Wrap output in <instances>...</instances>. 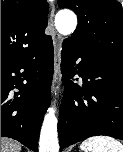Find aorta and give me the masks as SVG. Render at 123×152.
<instances>
[{
    "label": "aorta",
    "mask_w": 123,
    "mask_h": 152,
    "mask_svg": "<svg viewBox=\"0 0 123 152\" xmlns=\"http://www.w3.org/2000/svg\"><path fill=\"white\" fill-rule=\"evenodd\" d=\"M55 26L57 31L62 35H70L77 26L76 15L72 11H60L55 17ZM55 108L50 107L44 117L43 125L40 133L39 151L40 152H58V134H57V118L55 116Z\"/></svg>",
    "instance_id": "1"
}]
</instances>
